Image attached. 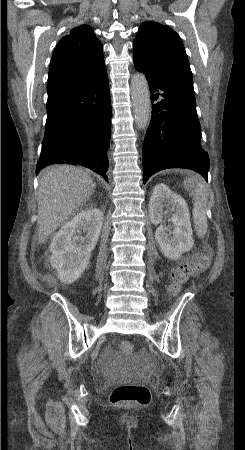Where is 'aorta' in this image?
Wrapping results in <instances>:
<instances>
[{
	"label": "aorta",
	"mask_w": 245,
	"mask_h": 450,
	"mask_svg": "<svg viewBox=\"0 0 245 450\" xmlns=\"http://www.w3.org/2000/svg\"><path fill=\"white\" fill-rule=\"evenodd\" d=\"M131 98L135 123L138 129H145L151 117V101L148 82L141 73H136L131 79Z\"/></svg>",
	"instance_id": "obj_1"
}]
</instances>
